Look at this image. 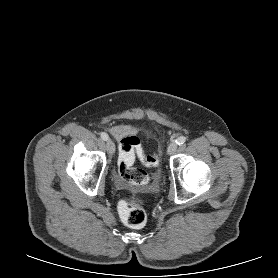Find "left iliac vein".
I'll return each instance as SVG.
<instances>
[{
	"instance_id": "obj_1",
	"label": "left iliac vein",
	"mask_w": 278,
	"mask_h": 278,
	"mask_svg": "<svg viewBox=\"0 0 278 278\" xmlns=\"http://www.w3.org/2000/svg\"><path fill=\"white\" fill-rule=\"evenodd\" d=\"M176 149H177V144L175 142H172L169 144L167 152L169 155H171L176 151Z\"/></svg>"
}]
</instances>
